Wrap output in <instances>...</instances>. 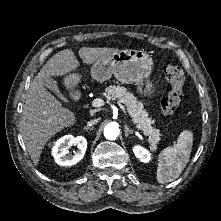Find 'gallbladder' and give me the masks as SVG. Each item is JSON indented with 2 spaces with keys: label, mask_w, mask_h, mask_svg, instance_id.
Instances as JSON below:
<instances>
[{
  "label": "gallbladder",
  "mask_w": 221,
  "mask_h": 221,
  "mask_svg": "<svg viewBox=\"0 0 221 221\" xmlns=\"http://www.w3.org/2000/svg\"><path fill=\"white\" fill-rule=\"evenodd\" d=\"M43 84L45 87L54 92L57 96L61 97L62 100L66 101V99L61 95L56 81H54L51 77H45L43 79Z\"/></svg>",
  "instance_id": "gallbladder-1"
}]
</instances>
